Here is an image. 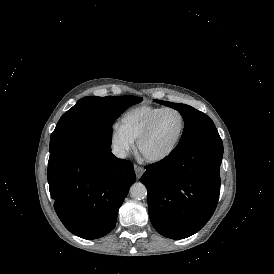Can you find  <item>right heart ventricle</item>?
I'll use <instances>...</instances> for the list:
<instances>
[{"label":"right heart ventricle","mask_w":274,"mask_h":274,"mask_svg":"<svg viewBox=\"0 0 274 274\" xmlns=\"http://www.w3.org/2000/svg\"><path fill=\"white\" fill-rule=\"evenodd\" d=\"M162 109L163 107L148 104L131 107L121 115L118 126L131 141H135L149 121Z\"/></svg>","instance_id":"obj_1"}]
</instances>
